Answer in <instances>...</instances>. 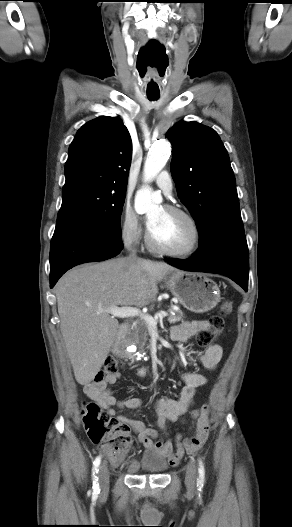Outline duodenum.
I'll return each mask as SVG.
<instances>
[{
  "instance_id": "obj_1",
  "label": "duodenum",
  "mask_w": 292,
  "mask_h": 527,
  "mask_svg": "<svg viewBox=\"0 0 292 527\" xmlns=\"http://www.w3.org/2000/svg\"><path fill=\"white\" fill-rule=\"evenodd\" d=\"M127 331H128V325L127 324H122L119 328V331L117 333V340L120 341L122 340L125 335L127 334Z\"/></svg>"
}]
</instances>
